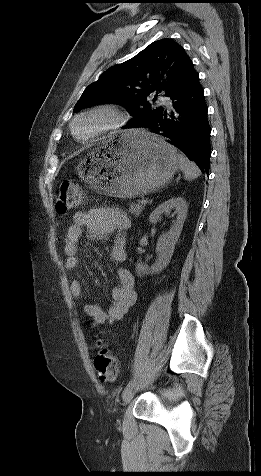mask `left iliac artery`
<instances>
[{
	"instance_id": "left-iliac-artery-1",
	"label": "left iliac artery",
	"mask_w": 261,
	"mask_h": 476,
	"mask_svg": "<svg viewBox=\"0 0 261 476\" xmlns=\"http://www.w3.org/2000/svg\"><path fill=\"white\" fill-rule=\"evenodd\" d=\"M133 383H134V379L132 378V379L128 382V384L126 385L124 391L127 390L128 388H130V387L133 385Z\"/></svg>"
}]
</instances>
